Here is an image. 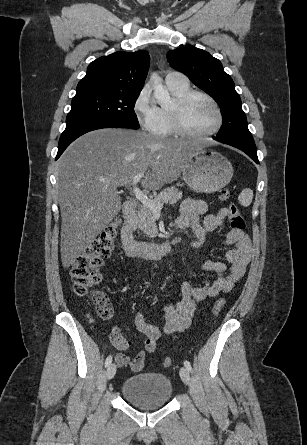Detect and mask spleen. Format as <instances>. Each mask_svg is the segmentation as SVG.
I'll return each mask as SVG.
<instances>
[{
	"label": "spleen",
	"instance_id": "obj_1",
	"mask_svg": "<svg viewBox=\"0 0 307 445\" xmlns=\"http://www.w3.org/2000/svg\"><path fill=\"white\" fill-rule=\"evenodd\" d=\"M253 198V190L251 188H243L242 192L239 194V202L243 204V206H249L251 204Z\"/></svg>",
	"mask_w": 307,
	"mask_h": 445
}]
</instances>
